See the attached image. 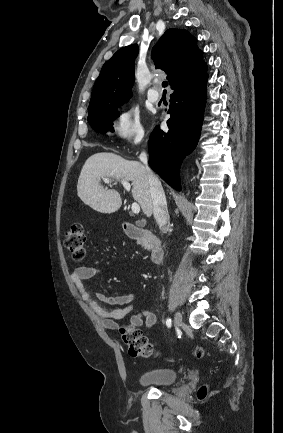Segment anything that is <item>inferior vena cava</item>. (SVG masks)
I'll return each mask as SVG.
<instances>
[{
  "mask_svg": "<svg viewBox=\"0 0 283 433\" xmlns=\"http://www.w3.org/2000/svg\"><path fill=\"white\" fill-rule=\"evenodd\" d=\"M140 160L146 164V172L149 180L150 192L153 198V212L154 217L160 225L162 231L167 233L169 231V214L167 210V202L163 186L150 166H147V154L146 152H141Z\"/></svg>",
  "mask_w": 283,
  "mask_h": 433,
  "instance_id": "obj_1",
  "label": "inferior vena cava"
}]
</instances>
